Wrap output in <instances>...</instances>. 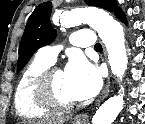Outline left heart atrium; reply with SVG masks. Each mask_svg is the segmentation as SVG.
I'll return each instance as SVG.
<instances>
[{"label":"left heart atrium","instance_id":"obj_1","mask_svg":"<svg viewBox=\"0 0 145 124\" xmlns=\"http://www.w3.org/2000/svg\"><path fill=\"white\" fill-rule=\"evenodd\" d=\"M65 77L69 91L76 100L93 97L101 87L98 70L82 56H73L70 59Z\"/></svg>","mask_w":145,"mask_h":124}]
</instances>
